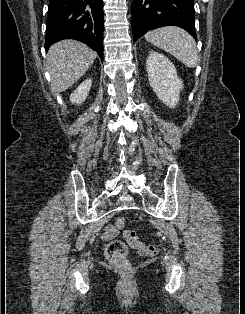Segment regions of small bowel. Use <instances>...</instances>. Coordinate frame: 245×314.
<instances>
[{
	"label": "small bowel",
	"instance_id": "c3829d8e",
	"mask_svg": "<svg viewBox=\"0 0 245 314\" xmlns=\"http://www.w3.org/2000/svg\"><path fill=\"white\" fill-rule=\"evenodd\" d=\"M117 235V230L112 225H107L103 234L104 240H111Z\"/></svg>",
	"mask_w": 245,
	"mask_h": 314
}]
</instances>
